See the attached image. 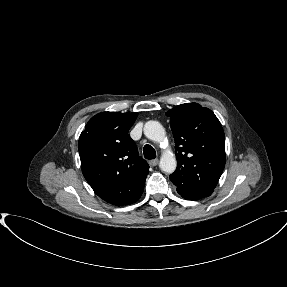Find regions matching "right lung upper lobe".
Returning <instances> with one entry per match:
<instances>
[{"mask_svg":"<svg viewBox=\"0 0 287 287\" xmlns=\"http://www.w3.org/2000/svg\"><path fill=\"white\" fill-rule=\"evenodd\" d=\"M137 113L102 112L92 117L81 133L78 150L82 173L104 201L123 206L142 195L149 173L128 135Z\"/></svg>","mask_w":287,"mask_h":287,"instance_id":"cb5924a9","label":"right lung upper lobe"}]
</instances>
